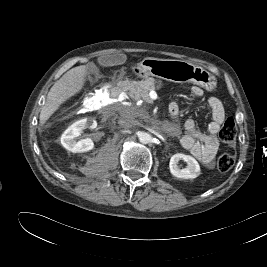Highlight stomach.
<instances>
[{
  "label": "stomach",
  "instance_id": "0dacf381",
  "mask_svg": "<svg viewBox=\"0 0 267 267\" xmlns=\"http://www.w3.org/2000/svg\"><path fill=\"white\" fill-rule=\"evenodd\" d=\"M137 74L141 78L153 76L172 82L192 83L209 91L216 86V78L213 74L183 60L148 57L138 64Z\"/></svg>",
  "mask_w": 267,
  "mask_h": 267
}]
</instances>
